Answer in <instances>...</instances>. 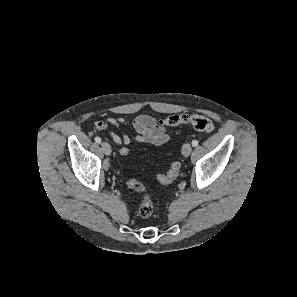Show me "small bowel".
I'll return each instance as SVG.
<instances>
[{
    "label": "small bowel",
    "instance_id": "small-bowel-1",
    "mask_svg": "<svg viewBox=\"0 0 297 297\" xmlns=\"http://www.w3.org/2000/svg\"><path fill=\"white\" fill-rule=\"evenodd\" d=\"M131 126L136 132L134 139L139 143H149L156 146L162 145L169 140V134L159 120L149 115H139L132 121H128L123 117H108L105 120L94 123V129L98 132L109 130L111 127ZM110 136L113 141L121 146H128L131 137L128 134L119 135L110 129Z\"/></svg>",
    "mask_w": 297,
    "mask_h": 297
}]
</instances>
